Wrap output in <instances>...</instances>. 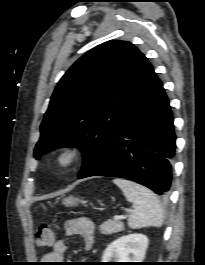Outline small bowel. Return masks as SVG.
Returning <instances> with one entry per match:
<instances>
[{
    "label": "small bowel",
    "instance_id": "1",
    "mask_svg": "<svg viewBox=\"0 0 205 265\" xmlns=\"http://www.w3.org/2000/svg\"><path fill=\"white\" fill-rule=\"evenodd\" d=\"M64 230L67 237H82L85 250H91L94 243V225L92 221L85 217L71 219L65 223ZM66 251L67 243L65 240L60 239L55 242L53 250L44 255L43 260L49 264L59 263L64 259Z\"/></svg>",
    "mask_w": 205,
    "mask_h": 265
}]
</instances>
